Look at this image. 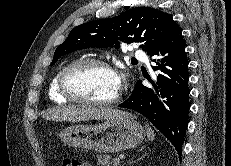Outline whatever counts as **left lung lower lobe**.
I'll return each mask as SVG.
<instances>
[{
    "instance_id": "0a47b994",
    "label": "left lung lower lobe",
    "mask_w": 231,
    "mask_h": 166,
    "mask_svg": "<svg viewBox=\"0 0 231 166\" xmlns=\"http://www.w3.org/2000/svg\"><path fill=\"white\" fill-rule=\"evenodd\" d=\"M181 28L177 25L152 52L153 67L157 71L152 84L146 87L139 80L130 97L119 106L135 110L145 116L182 152L188 111L190 108L188 86V58Z\"/></svg>"
}]
</instances>
